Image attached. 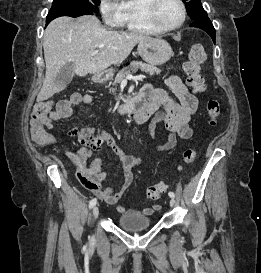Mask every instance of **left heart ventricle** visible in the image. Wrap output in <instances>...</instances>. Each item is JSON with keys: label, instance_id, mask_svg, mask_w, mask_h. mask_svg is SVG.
I'll list each match as a JSON object with an SVG mask.
<instances>
[{"label": "left heart ventricle", "instance_id": "b2bd125f", "mask_svg": "<svg viewBox=\"0 0 261 273\" xmlns=\"http://www.w3.org/2000/svg\"><path fill=\"white\" fill-rule=\"evenodd\" d=\"M158 19L165 27H173L181 20L182 13L176 0H162L158 12Z\"/></svg>", "mask_w": 261, "mask_h": 273}]
</instances>
